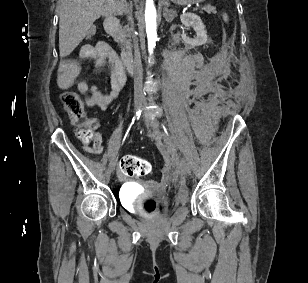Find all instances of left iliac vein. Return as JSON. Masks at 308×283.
<instances>
[{
  "label": "left iliac vein",
  "mask_w": 308,
  "mask_h": 283,
  "mask_svg": "<svg viewBox=\"0 0 308 283\" xmlns=\"http://www.w3.org/2000/svg\"><path fill=\"white\" fill-rule=\"evenodd\" d=\"M142 101L146 102V99L142 97ZM148 128L153 132L154 136L157 140L161 141L163 140L164 143L169 144L170 140L167 138V136L164 133V130L161 126V124L156 120H150L147 121ZM179 169L182 174L188 175L190 173V167L188 163L185 160H180L179 162Z\"/></svg>",
  "instance_id": "1"
}]
</instances>
